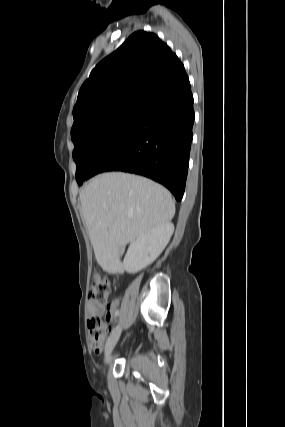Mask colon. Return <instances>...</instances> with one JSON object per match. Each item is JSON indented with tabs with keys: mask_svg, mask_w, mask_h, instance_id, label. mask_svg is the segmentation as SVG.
I'll list each match as a JSON object with an SVG mask.
<instances>
[{
	"mask_svg": "<svg viewBox=\"0 0 285 427\" xmlns=\"http://www.w3.org/2000/svg\"><path fill=\"white\" fill-rule=\"evenodd\" d=\"M112 292V284L109 279L100 275H95L90 284L88 296L89 299L97 303L103 304ZM89 333L94 348L99 350L102 348L109 327L99 317H92L88 322Z\"/></svg>",
	"mask_w": 285,
	"mask_h": 427,
	"instance_id": "colon-1",
	"label": "colon"
}]
</instances>
